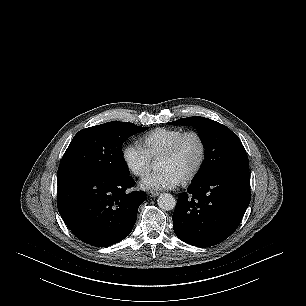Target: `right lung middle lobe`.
Returning <instances> with one entry per match:
<instances>
[{"instance_id": "right-lung-middle-lobe-1", "label": "right lung middle lobe", "mask_w": 306, "mask_h": 306, "mask_svg": "<svg viewBox=\"0 0 306 306\" xmlns=\"http://www.w3.org/2000/svg\"><path fill=\"white\" fill-rule=\"evenodd\" d=\"M147 129L129 122L113 121L80 130L63 155L57 184L87 174L129 175L122 145L129 136Z\"/></svg>"}]
</instances>
